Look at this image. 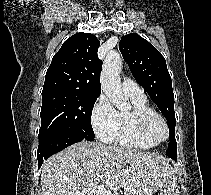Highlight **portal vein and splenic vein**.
Returning <instances> with one entry per match:
<instances>
[{
  "label": "portal vein and splenic vein",
  "instance_id": "18ae733b",
  "mask_svg": "<svg viewBox=\"0 0 211 195\" xmlns=\"http://www.w3.org/2000/svg\"><path fill=\"white\" fill-rule=\"evenodd\" d=\"M89 195H113V194L110 190L104 188V186H99L97 190L92 191L91 194Z\"/></svg>",
  "mask_w": 211,
  "mask_h": 195
}]
</instances>
